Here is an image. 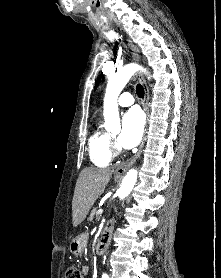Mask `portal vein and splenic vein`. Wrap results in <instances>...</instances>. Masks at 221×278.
Masks as SVG:
<instances>
[{"mask_svg":"<svg viewBox=\"0 0 221 278\" xmlns=\"http://www.w3.org/2000/svg\"><path fill=\"white\" fill-rule=\"evenodd\" d=\"M103 213V209H99L98 211H97V214L98 215H101Z\"/></svg>","mask_w":221,"mask_h":278,"instance_id":"portal-vein-and-splenic-vein-1","label":"portal vein and splenic vein"}]
</instances>
